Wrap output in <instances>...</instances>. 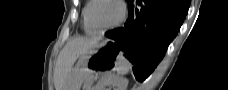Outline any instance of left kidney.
I'll return each mask as SVG.
<instances>
[{
	"label": "left kidney",
	"mask_w": 228,
	"mask_h": 90,
	"mask_svg": "<svg viewBox=\"0 0 228 90\" xmlns=\"http://www.w3.org/2000/svg\"><path fill=\"white\" fill-rule=\"evenodd\" d=\"M127 85L128 80L126 78H121L114 74H107L99 80L94 90H106V87L113 88V90H126Z\"/></svg>",
	"instance_id": "left-kidney-1"
}]
</instances>
